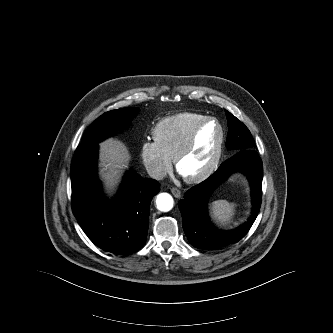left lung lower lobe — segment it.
Returning <instances> with one entry per match:
<instances>
[{
	"instance_id": "obj_1",
	"label": "left lung lower lobe",
	"mask_w": 333,
	"mask_h": 333,
	"mask_svg": "<svg viewBox=\"0 0 333 333\" xmlns=\"http://www.w3.org/2000/svg\"><path fill=\"white\" fill-rule=\"evenodd\" d=\"M235 171L244 172L251 184L253 209L248 221L231 231L214 227L207 215V202L213 190ZM263 166L253 149L237 151L223 162L208 179L189 189L179 201L183 229L189 242L196 248L213 250L241 240L254 223L261 205Z\"/></svg>"
}]
</instances>
